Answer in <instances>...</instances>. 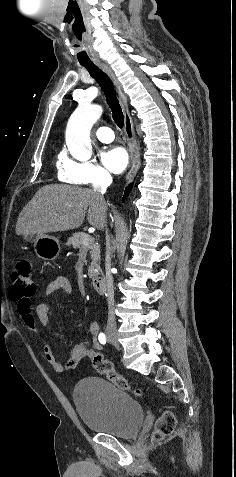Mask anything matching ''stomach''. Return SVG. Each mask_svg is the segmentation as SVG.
I'll use <instances>...</instances> for the list:
<instances>
[{
    "mask_svg": "<svg viewBox=\"0 0 236 477\" xmlns=\"http://www.w3.org/2000/svg\"><path fill=\"white\" fill-rule=\"evenodd\" d=\"M23 241L33 243L37 256L44 260H54L59 256L61 243L58 238L48 235L23 234Z\"/></svg>",
    "mask_w": 236,
    "mask_h": 477,
    "instance_id": "obj_1",
    "label": "stomach"
}]
</instances>
